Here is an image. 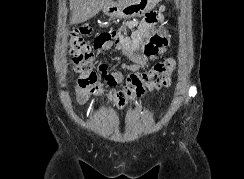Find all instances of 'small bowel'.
Instances as JSON below:
<instances>
[{
    "mask_svg": "<svg viewBox=\"0 0 244 179\" xmlns=\"http://www.w3.org/2000/svg\"><path fill=\"white\" fill-rule=\"evenodd\" d=\"M163 12L162 6V9L148 12L153 14L152 18H128L120 28L98 34L93 44L96 54L101 55L115 48L121 56L132 61V64L123 63L122 69L135 72L147 67L162 56L169 45L170 35L161 28L164 22ZM127 29L132 30L130 35L126 34ZM98 68L109 85H118L124 81L123 73L110 70L107 62H99ZM74 99L78 105H85L87 102L85 92L79 88L74 91Z\"/></svg>",
    "mask_w": 244,
    "mask_h": 179,
    "instance_id": "small-bowel-1",
    "label": "small bowel"
}]
</instances>
